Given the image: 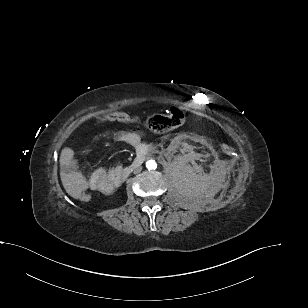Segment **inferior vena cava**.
Listing matches in <instances>:
<instances>
[{
	"instance_id": "inferior-vena-cava-1",
	"label": "inferior vena cava",
	"mask_w": 308,
	"mask_h": 308,
	"mask_svg": "<svg viewBox=\"0 0 308 308\" xmlns=\"http://www.w3.org/2000/svg\"><path fill=\"white\" fill-rule=\"evenodd\" d=\"M140 171H141V167H138V168L135 169L136 173H139Z\"/></svg>"
}]
</instances>
